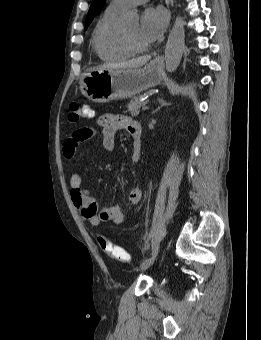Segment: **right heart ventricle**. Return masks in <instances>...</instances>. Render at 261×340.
Instances as JSON below:
<instances>
[{"label":"right heart ventricle","instance_id":"1","mask_svg":"<svg viewBox=\"0 0 261 340\" xmlns=\"http://www.w3.org/2000/svg\"><path fill=\"white\" fill-rule=\"evenodd\" d=\"M121 13L122 11L109 6L95 28L93 49L102 61L114 62L132 55L123 44Z\"/></svg>","mask_w":261,"mask_h":340}]
</instances>
